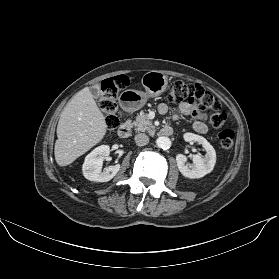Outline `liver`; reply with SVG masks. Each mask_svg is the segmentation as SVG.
<instances>
[{
    "label": "liver",
    "instance_id": "liver-1",
    "mask_svg": "<svg viewBox=\"0 0 279 279\" xmlns=\"http://www.w3.org/2000/svg\"><path fill=\"white\" fill-rule=\"evenodd\" d=\"M107 125L89 87L80 90L60 114L55 143V160L67 166L98 144Z\"/></svg>",
    "mask_w": 279,
    "mask_h": 279
}]
</instances>
